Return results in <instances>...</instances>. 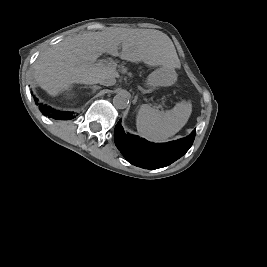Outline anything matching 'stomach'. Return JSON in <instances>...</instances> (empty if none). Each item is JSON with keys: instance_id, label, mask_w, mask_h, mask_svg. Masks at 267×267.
<instances>
[{"instance_id": "stomach-1", "label": "stomach", "mask_w": 267, "mask_h": 267, "mask_svg": "<svg viewBox=\"0 0 267 267\" xmlns=\"http://www.w3.org/2000/svg\"><path fill=\"white\" fill-rule=\"evenodd\" d=\"M176 80V73L173 69L161 67L153 71L146 80V85L152 89L161 86H170Z\"/></svg>"}]
</instances>
